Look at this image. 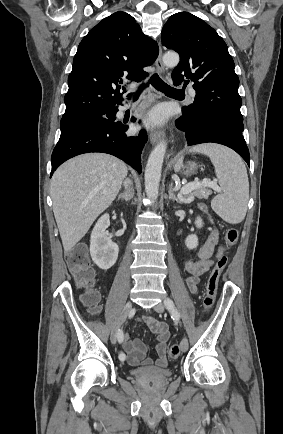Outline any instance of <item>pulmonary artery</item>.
<instances>
[{
    "label": "pulmonary artery",
    "mask_w": 283,
    "mask_h": 434,
    "mask_svg": "<svg viewBox=\"0 0 283 434\" xmlns=\"http://www.w3.org/2000/svg\"><path fill=\"white\" fill-rule=\"evenodd\" d=\"M188 93H189V95H190L191 97H194L195 94H196V92H195V90H194L193 88H188Z\"/></svg>",
    "instance_id": "obj_1"
}]
</instances>
